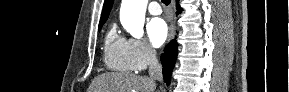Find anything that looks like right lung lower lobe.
Masks as SVG:
<instances>
[{"label":"right lung lower lobe","mask_w":289,"mask_h":92,"mask_svg":"<svg viewBox=\"0 0 289 92\" xmlns=\"http://www.w3.org/2000/svg\"><path fill=\"white\" fill-rule=\"evenodd\" d=\"M177 0V10L181 12V8L178 4ZM177 58V43L176 40H173L171 43H169L165 49L164 54L161 55V63L163 65V78L167 82H169V79L171 77V72L173 70L175 61Z\"/></svg>","instance_id":"98d812e1"}]
</instances>
